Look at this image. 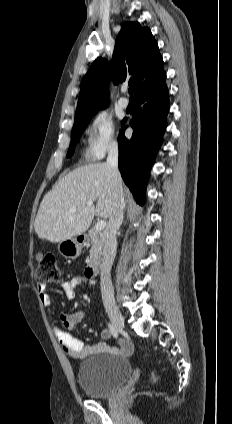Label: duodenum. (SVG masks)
<instances>
[{
    "label": "duodenum",
    "mask_w": 232,
    "mask_h": 424,
    "mask_svg": "<svg viewBox=\"0 0 232 424\" xmlns=\"http://www.w3.org/2000/svg\"><path fill=\"white\" fill-rule=\"evenodd\" d=\"M85 236L82 235V239H84ZM99 268H100V261L98 258H93L90 260L88 266H87V274L89 276H96L99 272Z\"/></svg>",
    "instance_id": "duodenum-1"
}]
</instances>
